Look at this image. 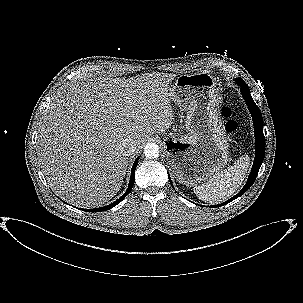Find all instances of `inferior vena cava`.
Returning a JSON list of instances; mask_svg holds the SVG:
<instances>
[{"mask_svg": "<svg viewBox=\"0 0 303 303\" xmlns=\"http://www.w3.org/2000/svg\"><path fill=\"white\" fill-rule=\"evenodd\" d=\"M120 147L126 156H130L136 150V142L131 138H126L121 142Z\"/></svg>", "mask_w": 303, "mask_h": 303, "instance_id": "inferior-vena-cava-1", "label": "inferior vena cava"}]
</instances>
